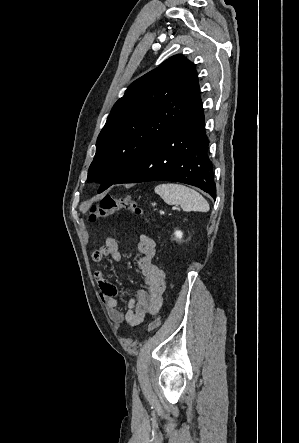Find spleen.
<instances>
[{
	"label": "spleen",
	"mask_w": 299,
	"mask_h": 443,
	"mask_svg": "<svg viewBox=\"0 0 299 443\" xmlns=\"http://www.w3.org/2000/svg\"><path fill=\"white\" fill-rule=\"evenodd\" d=\"M155 193L165 203L178 204L184 211L207 212L210 209L207 200L200 193L181 184H160L155 187Z\"/></svg>",
	"instance_id": "1"
}]
</instances>
